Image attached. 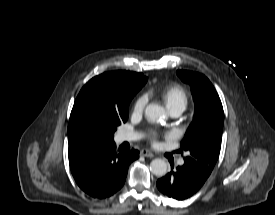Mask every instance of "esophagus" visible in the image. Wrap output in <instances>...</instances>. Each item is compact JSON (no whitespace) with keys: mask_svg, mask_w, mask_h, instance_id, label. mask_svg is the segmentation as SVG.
<instances>
[{"mask_svg":"<svg viewBox=\"0 0 275 215\" xmlns=\"http://www.w3.org/2000/svg\"><path fill=\"white\" fill-rule=\"evenodd\" d=\"M140 154L144 157H150V158L154 157V154L148 149H142L140 151Z\"/></svg>","mask_w":275,"mask_h":215,"instance_id":"esophagus-1","label":"esophagus"}]
</instances>
